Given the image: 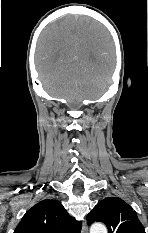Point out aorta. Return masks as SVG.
<instances>
[{"label": "aorta", "instance_id": "1", "mask_svg": "<svg viewBox=\"0 0 148 233\" xmlns=\"http://www.w3.org/2000/svg\"><path fill=\"white\" fill-rule=\"evenodd\" d=\"M90 233H107V229L102 223H94L90 228Z\"/></svg>", "mask_w": 148, "mask_h": 233}]
</instances>
